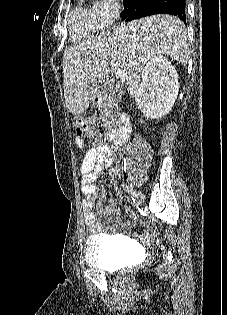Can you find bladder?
<instances>
[{
	"mask_svg": "<svg viewBox=\"0 0 227 315\" xmlns=\"http://www.w3.org/2000/svg\"><path fill=\"white\" fill-rule=\"evenodd\" d=\"M132 242L115 235L88 237L85 243L86 265L99 270H117L130 265L126 263Z\"/></svg>",
	"mask_w": 227,
	"mask_h": 315,
	"instance_id": "1",
	"label": "bladder"
}]
</instances>
